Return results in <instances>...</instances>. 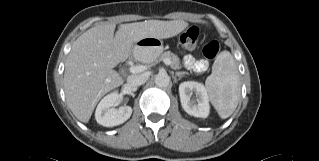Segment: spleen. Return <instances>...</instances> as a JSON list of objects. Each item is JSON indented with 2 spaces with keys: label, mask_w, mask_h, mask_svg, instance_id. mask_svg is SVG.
<instances>
[{
  "label": "spleen",
  "mask_w": 319,
  "mask_h": 161,
  "mask_svg": "<svg viewBox=\"0 0 319 161\" xmlns=\"http://www.w3.org/2000/svg\"><path fill=\"white\" fill-rule=\"evenodd\" d=\"M205 86L208 98L219 116L222 119L231 116L239 102L241 84L237 65L229 51L217 56Z\"/></svg>",
  "instance_id": "1"
}]
</instances>
